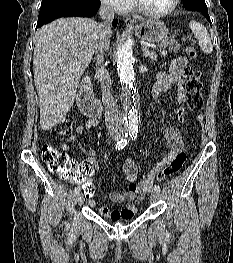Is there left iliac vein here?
<instances>
[{
	"instance_id": "1",
	"label": "left iliac vein",
	"mask_w": 233,
	"mask_h": 263,
	"mask_svg": "<svg viewBox=\"0 0 233 263\" xmlns=\"http://www.w3.org/2000/svg\"><path fill=\"white\" fill-rule=\"evenodd\" d=\"M151 202H157L159 200V193L157 191H152L150 196Z\"/></svg>"
}]
</instances>
